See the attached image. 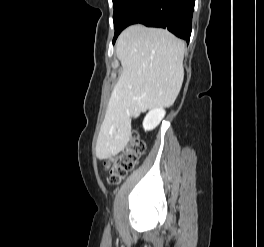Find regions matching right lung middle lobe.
Instances as JSON below:
<instances>
[{"instance_id": "obj_1", "label": "right lung middle lobe", "mask_w": 264, "mask_h": 247, "mask_svg": "<svg viewBox=\"0 0 264 247\" xmlns=\"http://www.w3.org/2000/svg\"><path fill=\"white\" fill-rule=\"evenodd\" d=\"M129 0H113V6H114V13H113V21H114V27L117 25V21L124 10L125 6Z\"/></svg>"}]
</instances>
